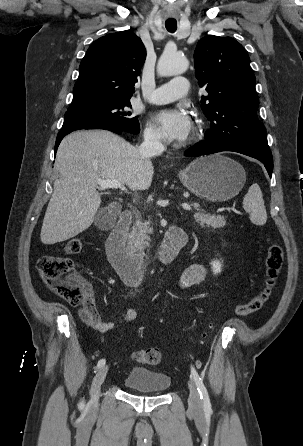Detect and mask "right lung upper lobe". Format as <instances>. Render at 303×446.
I'll return each instance as SVG.
<instances>
[{
    "label": "right lung upper lobe",
    "instance_id": "1",
    "mask_svg": "<svg viewBox=\"0 0 303 446\" xmlns=\"http://www.w3.org/2000/svg\"><path fill=\"white\" fill-rule=\"evenodd\" d=\"M146 50L131 31L107 34L94 41L81 64L70 109L130 100Z\"/></svg>",
    "mask_w": 303,
    "mask_h": 446
}]
</instances>
